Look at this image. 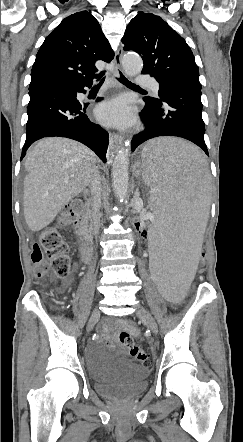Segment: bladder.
Segmentation results:
<instances>
[{"mask_svg": "<svg viewBox=\"0 0 243 442\" xmlns=\"http://www.w3.org/2000/svg\"><path fill=\"white\" fill-rule=\"evenodd\" d=\"M87 371L95 391L112 400H126L141 394L147 387V370L126 359L92 355Z\"/></svg>", "mask_w": 243, "mask_h": 442, "instance_id": "1", "label": "bladder"}]
</instances>
